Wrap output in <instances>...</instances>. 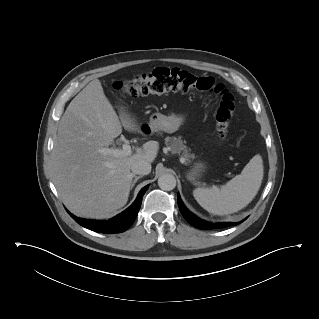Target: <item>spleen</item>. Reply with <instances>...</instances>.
<instances>
[{"label":"spleen","instance_id":"spleen-1","mask_svg":"<svg viewBox=\"0 0 319 319\" xmlns=\"http://www.w3.org/2000/svg\"><path fill=\"white\" fill-rule=\"evenodd\" d=\"M263 180V161L255 155L236 175L221 188H196L193 196L210 213L227 215L246 207L258 193Z\"/></svg>","mask_w":319,"mask_h":319}]
</instances>
